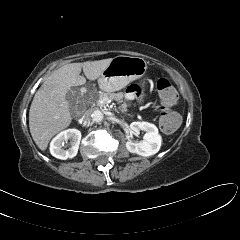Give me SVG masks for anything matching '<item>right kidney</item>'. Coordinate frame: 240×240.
<instances>
[{
	"label": "right kidney",
	"mask_w": 240,
	"mask_h": 240,
	"mask_svg": "<svg viewBox=\"0 0 240 240\" xmlns=\"http://www.w3.org/2000/svg\"><path fill=\"white\" fill-rule=\"evenodd\" d=\"M70 140V147L63 149L65 142ZM81 140V132L77 129H67L59 133L50 143V153L55 158L66 160L77 155Z\"/></svg>",
	"instance_id": "ca27d5eb"
}]
</instances>
